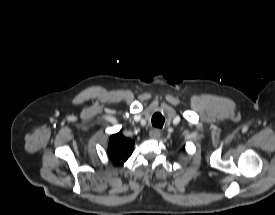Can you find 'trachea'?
Wrapping results in <instances>:
<instances>
[{
    "label": "trachea",
    "instance_id": "obj_1",
    "mask_svg": "<svg viewBox=\"0 0 275 215\" xmlns=\"http://www.w3.org/2000/svg\"><path fill=\"white\" fill-rule=\"evenodd\" d=\"M152 125L154 127H158L161 128L164 125L165 122V118L163 117V115L159 112H156L153 116H152Z\"/></svg>",
    "mask_w": 275,
    "mask_h": 215
}]
</instances>
